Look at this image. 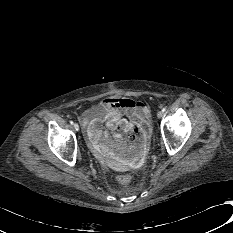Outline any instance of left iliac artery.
I'll return each mask as SVG.
<instances>
[{"label": "left iliac artery", "instance_id": "left-iliac-artery-1", "mask_svg": "<svg viewBox=\"0 0 233 233\" xmlns=\"http://www.w3.org/2000/svg\"><path fill=\"white\" fill-rule=\"evenodd\" d=\"M165 111H166V109H165V108H163V109H162V112H165Z\"/></svg>", "mask_w": 233, "mask_h": 233}]
</instances>
